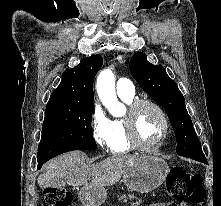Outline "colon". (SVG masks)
<instances>
[{"label":"colon","mask_w":221,"mask_h":206,"mask_svg":"<svg viewBox=\"0 0 221 206\" xmlns=\"http://www.w3.org/2000/svg\"><path fill=\"white\" fill-rule=\"evenodd\" d=\"M167 195L186 203H201L205 196L201 177L182 167L171 168L168 173ZM74 195L63 187L45 190L43 206H72Z\"/></svg>","instance_id":"colon-1"}]
</instances>
